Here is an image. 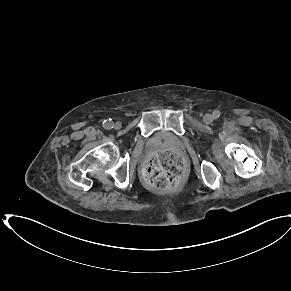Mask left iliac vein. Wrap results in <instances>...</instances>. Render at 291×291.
Masks as SVG:
<instances>
[{
  "label": "left iliac vein",
  "mask_w": 291,
  "mask_h": 291,
  "mask_svg": "<svg viewBox=\"0 0 291 291\" xmlns=\"http://www.w3.org/2000/svg\"><path fill=\"white\" fill-rule=\"evenodd\" d=\"M203 120L205 123L209 124L213 121V116L211 114H206L204 117H203Z\"/></svg>",
  "instance_id": "4c4485c4"
}]
</instances>
